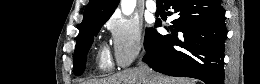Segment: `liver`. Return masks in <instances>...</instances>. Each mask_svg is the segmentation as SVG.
<instances>
[{
	"instance_id": "1",
	"label": "liver",
	"mask_w": 260,
	"mask_h": 84,
	"mask_svg": "<svg viewBox=\"0 0 260 84\" xmlns=\"http://www.w3.org/2000/svg\"><path fill=\"white\" fill-rule=\"evenodd\" d=\"M196 80L184 77H167L153 72L141 71L139 68L126 69L111 77L88 81L84 84H195Z\"/></svg>"
}]
</instances>
